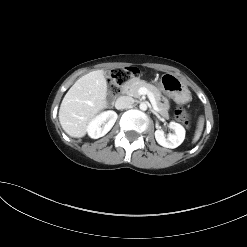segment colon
I'll return each instance as SVG.
<instances>
[{"instance_id": "5ec220e1", "label": "colon", "mask_w": 247, "mask_h": 247, "mask_svg": "<svg viewBox=\"0 0 247 247\" xmlns=\"http://www.w3.org/2000/svg\"><path fill=\"white\" fill-rule=\"evenodd\" d=\"M138 73V69L134 67L117 68L113 70L108 88L109 96L112 98L116 97L120 91V86L125 84L132 77L138 75ZM176 116L183 123H189L188 114L183 108H178L176 110Z\"/></svg>"}]
</instances>
